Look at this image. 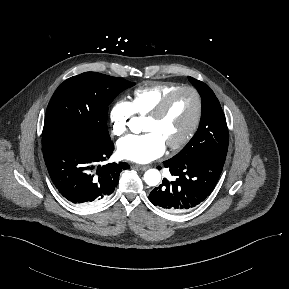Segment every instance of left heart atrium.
<instances>
[{
	"instance_id": "obj_1",
	"label": "left heart atrium",
	"mask_w": 289,
	"mask_h": 289,
	"mask_svg": "<svg viewBox=\"0 0 289 289\" xmlns=\"http://www.w3.org/2000/svg\"><path fill=\"white\" fill-rule=\"evenodd\" d=\"M165 143L154 132L129 135L118 142V153L126 160L148 163L159 158L165 151Z\"/></svg>"
}]
</instances>
